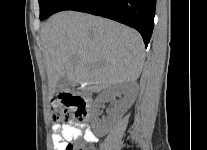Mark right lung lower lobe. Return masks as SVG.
<instances>
[{"label":"right lung lower lobe","mask_w":207,"mask_h":150,"mask_svg":"<svg viewBox=\"0 0 207 150\" xmlns=\"http://www.w3.org/2000/svg\"><path fill=\"white\" fill-rule=\"evenodd\" d=\"M156 0H64L56 9L110 18L138 30L147 46L154 26Z\"/></svg>","instance_id":"1"}]
</instances>
